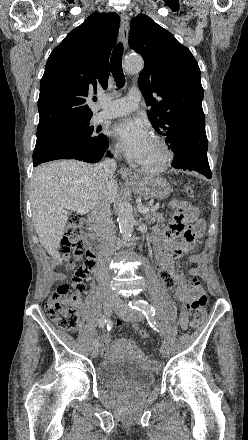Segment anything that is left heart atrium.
I'll return each instance as SVG.
<instances>
[{"instance_id":"left-heart-atrium-1","label":"left heart atrium","mask_w":248,"mask_h":440,"mask_svg":"<svg viewBox=\"0 0 248 440\" xmlns=\"http://www.w3.org/2000/svg\"><path fill=\"white\" fill-rule=\"evenodd\" d=\"M112 135L122 151L131 159L140 162L148 152L152 139L144 121L124 119L112 128Z\"/></svg>"}]
</instances>
